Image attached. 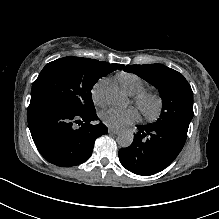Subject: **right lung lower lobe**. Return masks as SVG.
<instances>
[{"label": "right lung lower lobe", "mask_w": 219, "mask_h": 219, "mask_svg": "<svg viewBox=\"0 0 219 219\" xmlns=\"http://www.w3.org/2000/svg\"><path fill=\"white\" fill-rule=\"evenodd\" d=\"M96 112L77 113L50 99H31L28 125L41 155L50 163L71 167L85 162L95 140L108 132ZM79 126V127H78Z\"/></svg>", "instance_id": "98d812e1"}]
</instances>
